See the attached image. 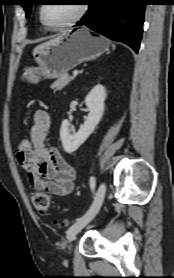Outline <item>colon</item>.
<instances>
[{
  "label": "colon",
  "instance_id": "1",
  "mask_svg": "<svg viewBox=\"0 0 174 278\" xmlns=\"http://www.w3.org/2000/svg\"><path fill=\"white\" fill-rule=\"evenodd\" d=\"M32 147V143L30 138H22L18 141L17 151L18 152H26L30 150ZM31 202L34 208L41 214H45L50 205L49 196L42 191H33L31 193Z\"/></svg>",
  "mask_w": 174,
  "mask_h": 278
}]
</instances>
